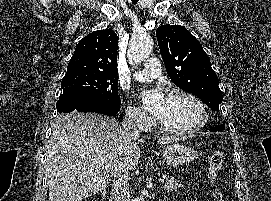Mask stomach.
Here are the masks:
<instances>
[{
    "mask_svg": "<svg viewBox=\"0 0 271 201\" xmlns=\"http://www.w3.org/2000/svg\"><path fill=\"white\" fill-rule=\"evenodd\" d=\"M162 157L168 165L175 167L193 162L197 157V152L186 145L170 144L163 147Z\"/></svg>",
    "mask_w": 271,
    "mask_h": 201,
    "instance_id": "stomach-1",
    "label": "stomach"
}]
</instances>
